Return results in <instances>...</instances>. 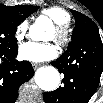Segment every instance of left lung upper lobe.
<instances>
[{"mask_svg": "<svg viewBox=\"0 0 103 103\" xmlns=\"http://www.w3.org/2000/svg\"><path fill=\"white\" fill-rule=\"evenodd\" d=\"M73 14L76 25L72 35V41L68 44L67 50L64 54L69 53L72 49L76 47L78 42H80L84 37L91 31L99 32L97 25L87 16L84 14L71 10Z\"/></svg>", "mask_w": 103, "mask_h": 103, "instance_id": "left-lung-upper-lobe-1", "label": "left lung upper lobe"}]
</instances>
